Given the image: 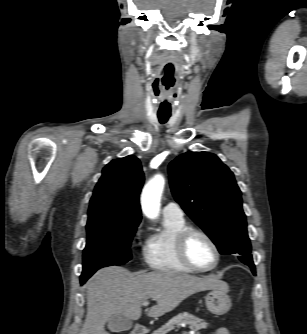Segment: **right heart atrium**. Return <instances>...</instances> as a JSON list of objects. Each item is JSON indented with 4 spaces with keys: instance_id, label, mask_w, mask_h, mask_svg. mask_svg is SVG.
<instances>
[{
    "instance_id": "1",
    "label": "right heart atrium",
    "mask_w": 307,
    "mask_h": 334,
    "mask_svg": "<svg viewBox=\"0 0 307 334\" xmlns=\"http://www.w3.org/2000/svg\"><path fill=\"white\" fill-rule=\"evenodd\" d=\"M142 230L143 228H142V225L140 224L135 230V238H138L140 236V234L142 233Z\"/></svg>"
}]
</instances>
